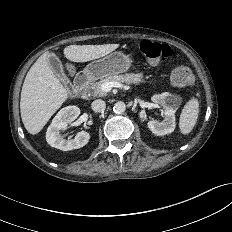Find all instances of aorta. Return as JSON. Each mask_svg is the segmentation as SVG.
Segmentation results:
<instances>
[{
	"instance_id": "obj_1",
	"label": "aorta",
	"mask_w": 232,
	"mask_h": 232,
	"mask_svg": "<svg viewBox=\"0 0 232 232\" xmlns=\"http://www.w3.org/2000/svg\"><path fill=\"white\" fill-rule=\"evenodd\" d=\"M125 110H126V105L124 102L118 101L114 104L113 111L116 114H122L125 112Z\"/></svg>"
}]
</instances>
